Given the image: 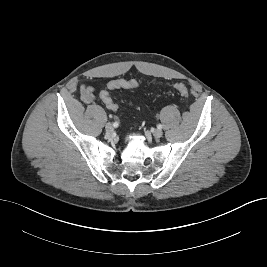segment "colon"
Instances as JSON below:
<instances>
[{"instance_id": "5ec220e1", "label": "colon", "mask_w": 267, "mask_h": 267, "mask_svg": "<svg viewBox=\"0 0 267 267\" xmlns=\"http://www.w3.org/2000/svg\"><path fill=\"white\" fill-rule=\"evenodd\" d=\"M140 86V83L136 80L119 79L108 83L107 89L101 91L100 98L106 107L112 111L117 110L118 105L113 101L110 95V91L114 89H135ZM174 89L177 90L183 97L189 96L188 88L182 83H176L173 85Z\"/></svg>"}]
</instances>
